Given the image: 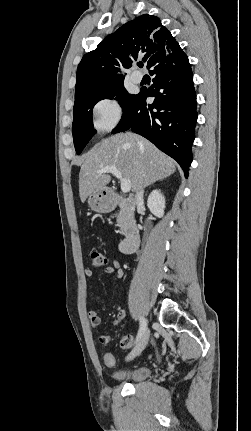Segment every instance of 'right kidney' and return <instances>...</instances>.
Here are the masks:
<instances>
[{
    "label": "right kidney",
    "instance_id": "ca27d5eb",
    "mask_svg": "<svg viewBox=\"0 0 251 431\" xmlns=\"http://www.w3.org/2000/svg\"><path fill=\"white\" fill-rule=\"evenodd\" d=\"M147 206L151 213L161 218L164 215L165 198L161 190H154L148 197Z\"/></svg>",
    "mask_w": 251,
    "mask_h": 431
}]
</instances>
